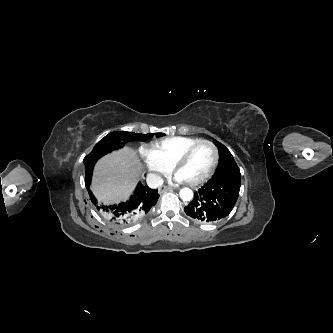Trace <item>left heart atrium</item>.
<instances>
[{"label": "left heart atrium", "mask_w": 333, "mask_h": 333, "mask_svg": "<svg viewBox=\"0 0 333 333\" xmlns=\"http://www.w3.org/2000/svg\"><path fill=\"white\" fill-rule=\"evenodd\" d=\"M175 180L178 182L184 181V179L181 176H179L178 174L175 176Z\"/></svg>", "instance_id": "left-heart-atrium-1"}]
</instances>
